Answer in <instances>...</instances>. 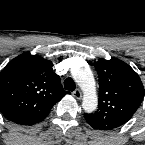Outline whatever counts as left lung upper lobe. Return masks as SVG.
Wrapping results in <instances>:
<instances>
[{"label": "left lung upper lobe", "instance_id": "5c2ea615", "mask_svg": "<svg viewBox=\"0 0 145 145\" xmlns=\"http://www.w3.org/2000/svg\"><path fill=\"white\" fill-rule=\"evenodd\" d=\"M95 68L100 86L98 109L84 117L94 129H115L129 121L139 108L144 86L138 74L121 60L102 59Z\"/></svg>", "mask_w": 145, "mask_h": 145}]
</instances>
